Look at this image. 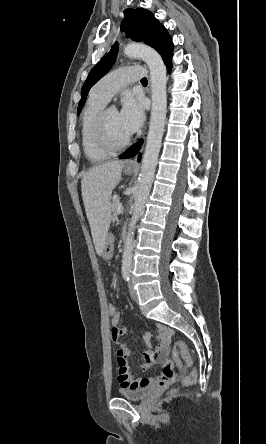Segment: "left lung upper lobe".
<instances>
[{
  "label": "left lung upper lobe",
  "mask_w": 266,
  "mask_h": 444,
  "mask_svg": "<svg viewBox=\"0 0 266 444\" xmlns=\"http://www.w3.org/2000/svg\"><path fill=\"white\" fill-rule=\"evenodd\" d=\"M121 23V31L126 38L142 41L157 50L164 62L171 59L173 44L166 28L159 23L155 16L143 8L126 9ZM118 52V44L112 46L109 53L93 67L81 89V100L78 105L79 115L90 88L100 80L113 66Z\"/></svg>",
  "instance_id": "obj_1"
}]
</instances>
